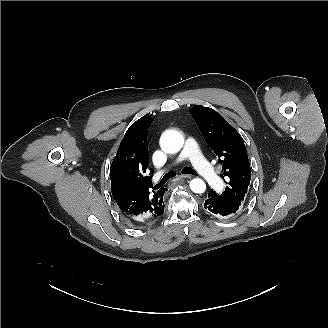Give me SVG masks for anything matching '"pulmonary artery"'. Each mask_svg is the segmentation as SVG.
I'll use <instances>...</instances> for the list:
<instances>
[{
    "label": "pulmonary artery",
    "mask_w": 328,
    "mask_h": 328,
    "mask_svg": "<svg viewBox=\"0 0 328 328\" xmlns=\"http://www.w3.org/2000/svg\"><path fill=\"white\" fill-rule=\"evenodd\" d=\"M185 152L187 153L188 161L194 164L196 173L205 177L209 184L215 185L220 182V172L211 164V161L207 159L206 154L199 148L196 141H188Z\"/></svg>",
    "instance_id": "1"
}]
</instances>
